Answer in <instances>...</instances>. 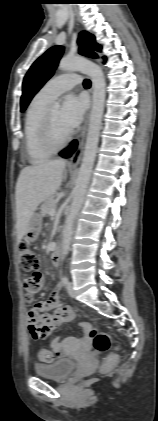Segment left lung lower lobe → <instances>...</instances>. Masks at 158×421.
Returning <instances> with one entry per match:
<instances>
[{
    "instance_id": "1",
    "label": "left lung lower lobe",
    "mask_w": 158,
    "mask_h": 421,
    "mask_svg": "<svg viewBox=\"0 0 158 421\" xmlns=\"http://www.w3.org/2000/svg\"><path fill=\"white\" fill-rule=\"evenodd\" d=\"M76 148H77V141L74 140L68 149H66L64 151H61L59 154H60V156H62L64 158H68L73 154V152L76 150Z\"/></svg>"
}]
</instances>
